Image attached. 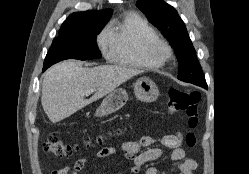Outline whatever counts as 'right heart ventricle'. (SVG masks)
I'll use <instances>...</instances> for the list:
<instances>
[{
	"label": "right heart ventricle",
	"mask_w": 249,
	"mask_h": 174,
	"mask_svg": "<svg viewBox=\"0 0 249 174\" xmlns=\"http://www.w3.org/2000/svg\"><path fill=\"white\" fill-rule=\"evenodd\" d=\"M108 32L112 40L110 60L120 66L158 70L162 64L145 56L147 42L158 39L149 22L136 13L125 14L111 23Z\"/></svg>",
	"instance_id": "1"
}]
</instances>
